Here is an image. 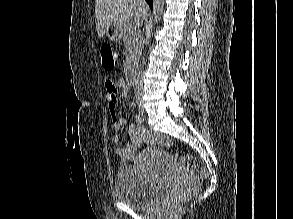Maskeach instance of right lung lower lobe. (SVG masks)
Here are the masks:
<instances>
[{
    "mask_svg": "<svg viewBox=\"0 0 293 219\" xmlns=\"http://www.w3.org/2000/svg\"><path fill=\"white\" fill-rule=\"evenodd\" d=\"M146 1L148 2L150 8H152V7H153V2H152V0H146Z\"/></svg>",
    "mask_w": 293,
    "mask_h": 219,
    "instance_id": "98d812e1",
    "label": "right lung lower lobe"
}]
</instances>
